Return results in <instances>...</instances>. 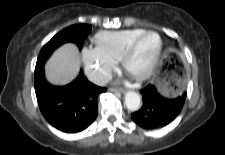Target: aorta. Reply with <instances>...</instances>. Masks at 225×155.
I'll return each mask as SVG.
<instances>
[{"mask_svg":"<svg viewBox=\"0 0 225 155\" xmlns=\"http://www.w3.org/2000/svg\"><path fill=\"white\" fill-rule=\"evenodd\" d=\"M141 99L138 93L134 91H128L125 94V106L130 111H137L140 108Z\"/></svg>","mask_w":225,"mask_h":155,"instance_id":"762f6f07","label":"aorta"}]
</instances>
